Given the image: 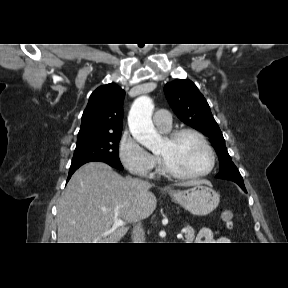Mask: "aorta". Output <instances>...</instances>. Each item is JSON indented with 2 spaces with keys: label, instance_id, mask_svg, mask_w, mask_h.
<instances>
[{
  "label": "aorta",
  "instance_id": "aorta-1",
  "mask_svg": "<svg viewBox=\"0 0 288 288\" xmlns=\"http://www.w3.org/2000/svg\"><path fill=\"white\" fill-rule=\"evenodd\" d=\"M154 105L148 96L138 97L129 112L128 125L132 136L150 150L159 147L161 137L152 123Z\"/></svg>",
  "mask_w": 288,
  "mask_h": 288
}]
</instances>
